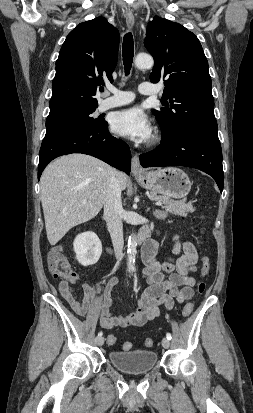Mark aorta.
<instances>
[{
	"instance_id": "obj_1",
	"label": "aorta",
	"mask_w": 253,
	"mask_h": 413,
	"mask_svg": "<svg viewBox=\"0 0 253 413\" xmlns=\"http://www.w3.org/2000/svg\"><path fill=\"white\" fill-rule=\"evenodd\" d=\"M154 65V60L152 56L148 54H138L135 58V66L139 69H149L152 68ZM137 242L135 236H132L128 239V248H127V265L129 271L134 270L135 266V258H136V250Z\"/></svg>"
}]
</instances>
